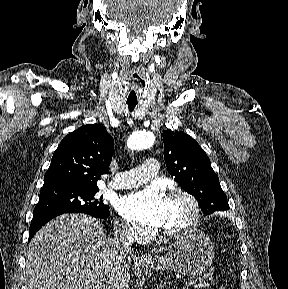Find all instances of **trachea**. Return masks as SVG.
<instances>
[{"instance_id": "obj_1", "label": "trachea", "mask_w": 288, "mask_h": 289, "mask_svg": "<svg viewBox=\"0 0 288 289\" xmlns=\"http://www.w3.org/2000/svg\"><path fill=\"white\" fill-rule=\"evenodd\" d=\"M140 79H141L140 74L136 71H133L129 78V84L125 89V95L127 98L126 103L128 105V109L130 112H132L137 105V100L139 98V90L137 87V83Z\"/></svg>"}]
</instances>
